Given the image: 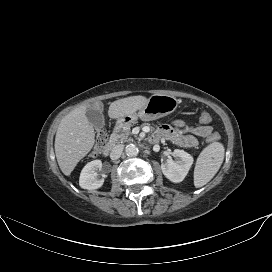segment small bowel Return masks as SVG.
<instances>
[{
  "mask_svg": "<svg viewBox=\"0 0 272 272\" xmlns=\"http://www.w3.org/2000/svg\"><path fill=\"white\" fill-rule=\"evenodd\" d=\"M212 134L209 125L192 126L182 120H176L170 125L161 126L156 138H166L171 142L187 148L195 147L198 143L197 138H208Z\"/></svg>",
  "mask_w": 272,
  "mask_h": 272,
  "instance_id": "1",
  "label": "small bowel"
}]
</instances>
